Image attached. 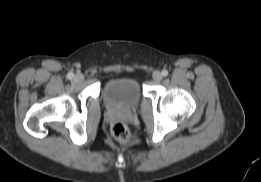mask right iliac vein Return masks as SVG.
Instances as JSON below:
<instances>
[{"mask_svg":"<svg viewBox=\"0 0 261 182\" xmlns=\"http://www.w3.org/2000/svg\"><path fill=\"white\" fill-rule=\"evenodd\" d=\"M83 80H84V76H83L82 74H76V75L74 76V81H75V82L80 83V82H82Z\"/></svg>","mask_w":261,"mask_h":182,"instance_id":"right-iliac-vein-1","label":"right iliac vein"}]
</instances>
